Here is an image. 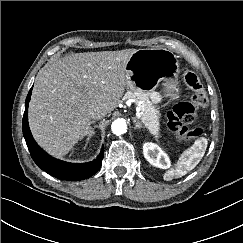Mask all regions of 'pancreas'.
Returning a JSON list of instances; mask_svg holds the SVG:
<instances>
[{
    "label": "pancreas",
    "mask_w": 243,
    "mask_h": 243,
    "mask_svg": "<svg viewBox=\"0 0 243 243\" xmlns=\"http://www.w3.org/2000/svg\"><path fill=\"white\" fill-rule=\"evenodd\" d=\"M124 99H134L137 102H141L139 104L141 120L151 135H153L155 139H159V137H161L159 111L150 101L149 94L143 90H131L124 95Z\"/></svg>",
    "instance_id": "pancreas-1"
}]
</instances>
